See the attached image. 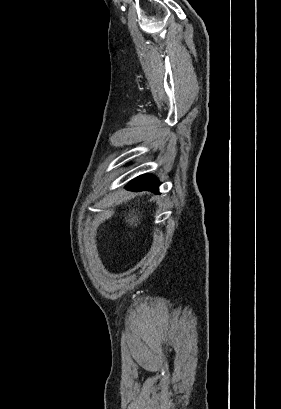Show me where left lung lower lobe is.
I'll use <instances>...</instances> for the list:
<instances>
[{"instance_id": "obj_1", "label": "left lung lower lobe", "mask_w": 281, "mask_h": 409, "mask_svg": "<svg viewBox=\"0 0 281 409\" xmlns=\"http://www.w3.org/2000/svg\"><path fill=\"white\" fill-rule=\"evenodd\" d=\"M159 185L160 183L156 178L144 175L132 180L127 189L135 191L150 190L158 193Z\"/></svg>"}]
</instances>
